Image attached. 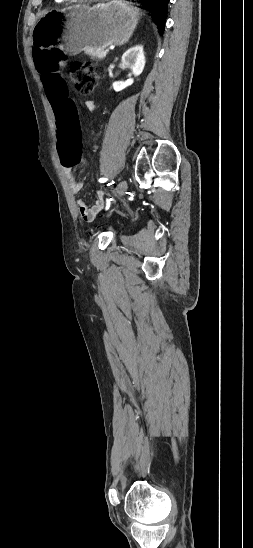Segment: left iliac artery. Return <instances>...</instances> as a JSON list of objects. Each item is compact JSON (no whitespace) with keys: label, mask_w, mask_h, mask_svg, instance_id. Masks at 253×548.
Listing matches in <instances>:
<instances>
[{"label":"left iliac artery","mask_w":253,"mask_h":548,"mask_svg":"<svg viewBox=\"0 0 253 548\" xmlns=\"http://www.w3.org/2000/svg\"><path fill=\"white\" fill-rule=\"evenodd\" d=\"M107 180H108L107 178H100L99 182H106ZM109 207H110V200H107L106 210H108Z\"/></svg>","instance_id":"44dca946"}]
</instances>
